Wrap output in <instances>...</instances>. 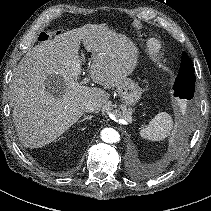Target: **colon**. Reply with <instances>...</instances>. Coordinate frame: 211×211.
Here are the masks:
<instances>
[{
    "instance_id": "obj_1",
    "label": "colon",
    "mask_w": 211,
    "mask_h": 211,
    "mask_svg": "<svg viewBox=\"0 0 211 211\" xmlns=\"http://www.w3.org/2000/svg\"><path fill=\"white\" fill-rule=\"evenodd\" d=\"M58 30H53V31H43L38 35V41L39 42H46L48 41L52 35L58 34Z\"/></svg>"
}]
</instances>
